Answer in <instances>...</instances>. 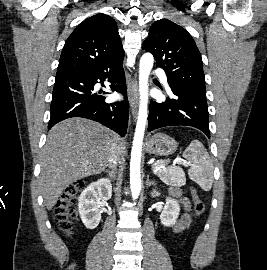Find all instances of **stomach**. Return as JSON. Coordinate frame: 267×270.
<instances>
[{"mask_svg": "<svg viewBox=\"0 0 267 270\" xmlns=\"http://www.w3.org/2000/svg\"><path fill=\"white\" fill-rule=\"evenodd\" d=\"M177 146L178 143L176 140L164 133H157L146 142L147 152L159 156H168L173 154L176 151Z\"/></svg>", "mask_w": 267, "mask_h": 270, "instance_id": "1", "label": "stomach"}]
</instances>
